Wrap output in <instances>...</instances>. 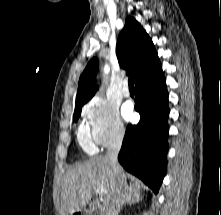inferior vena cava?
I'll list each match as a JSON object with an SVG mask.
<instances>
[{
	"label": "inferior vena cava",
	"instance_id": "obj_1",
	"mask_svg": "<svg viewBox=\"0 0 221 215\" xmlns=\"http://www.w3.org/2000/svg\"><path fill=\"white\" fill-rule=\"evenodd\" d=\"M122 145V137H118L114 143L109 147L107 151V158L111 164L112 171L115 177L118 178L121 176V167L118 164V153ZM119 185L116 188L112 198L104 206V215H118L120 208L126 198V192L123 190V184L119 181Z\"/></svg>",
	"mask_w": 221,
	"mask_h": 215
}]
</instances>
